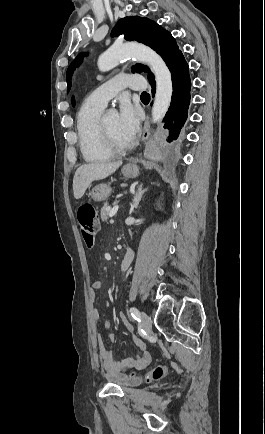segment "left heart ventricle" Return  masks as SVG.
Here are the masks:
<instances>
[{
    "mask_svg": "<svg viewBox=\"0 0 265 434\" xmlns=\"http://www.w3.org/2000/svg\"><path fill=\"white\" fill-rule=\"evenodd\" d=\"M104 122L106 123V125L110 129L112 136H113V139L116 143L123 145V146L130 144L129 142L125 141L120 135L117 115H113V116H110V117L104 119Z\"/></svg>",
    "mask_w": 265,
    "mask_h": 434,
    "instance_id": "obj_1",
    "label": "left heart ventricle"
}]
</instances>
